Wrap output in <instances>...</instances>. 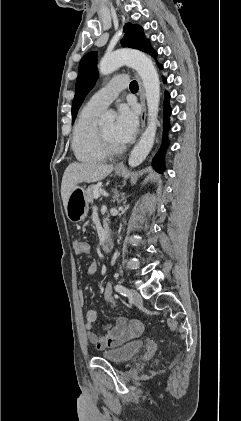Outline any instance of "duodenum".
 Instances as JSON below:
<instances>
[{"mask_svg": "<svg viewBox=\"0 0 241 421\" xmlns=\"http://www.w3.org/2000/svg\"><path fill=\"white\" fill-rule=\"evenodd\" d=\"M112 246L113 242L111 236L109 234L105 235L101 243L102 251L109 252L112 249Z\"/></svg>", "mask_w": 241, "mask_h": 421, "instance_id": "410a0bca", "label": "duodenum"}]
</instances>
